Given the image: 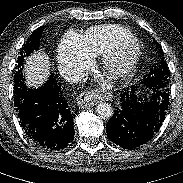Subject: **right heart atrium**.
I'll return each mask as SVG.
<instances>
[{
    "mask_svg": "<svg viewBox=\"0 0 183 183\" xmlns=\"http://www.w3.org/2000/svg\"><path fill=\"white\" fill-rule=\"evenodd\" d=\"M58 66L63 73L77 69L81 71L90 64V56L83 49L79 37L69 33L58 48Z\"/></svg>",
    "mask_w": 183,
    "mask_h": 183,
    "instance_id": "obj_1",
    "label": "right heart atrium"
}]
</instances>
